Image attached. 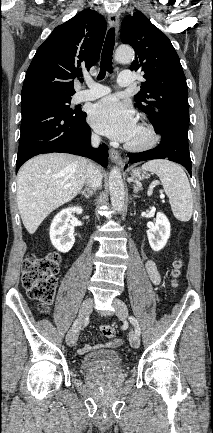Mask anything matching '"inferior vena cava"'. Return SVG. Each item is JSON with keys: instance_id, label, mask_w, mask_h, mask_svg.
Wrapping results in <instances>:
<instances>
[{"instance_id": "602c4592", "label": "inferior vena cava", "mask_w": 213, "mask_h": 433, "mask_svg": "<svg viewBox=\"0 0 213 433\" xmlns=\"http://www.w3.org/2000/svg\"><path fill=\"white\" fill-rule=\"evenodd\" d=\"M100 143V137L98 135L92 136V145L94 147L98 146ZM86 184L92 191L97 190L100 188L102 184V175L100 171L92 164L89 163L88 169H87V176H86Z\"/></svg>"}]
</instances>
